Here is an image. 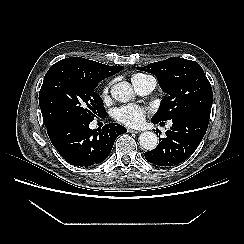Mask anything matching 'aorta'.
<instances>
[{
  "label": "aorta",
  "instance_id": "762f6f07",
  "mask_svg": "<svg viewBox=\"0 0 244 244\" xmlns=\"http://www.w3.org/2000/svg\"><path fill=\"white\" fill-rule=\"evenodd\" d=\"M112 97L119 102H128L134 97V92L128 82H119L111 87ZM139 143L145 150H153L158 144V137L152 131H146L140 134Z\"/></svg>",
  "mask_w": 244,
  "mask_h": 244
}]
</instances>
